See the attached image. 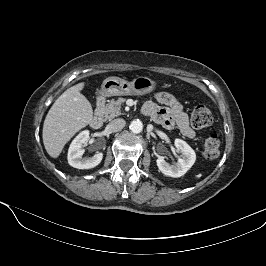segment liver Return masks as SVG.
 Listing matches in <instances>:
<instances>
[{
  "mask_svg": "<svg viewBox=\"0 0 266 266\" xmlns=\"http://www.w3.org/2000/svg\"><path fill=\"white\" fill-rule=\"evenodd\" d=\"M85 83L68 88L50 108L43 124V143L47 153L57 158L76 132L91 123V103L81 93Z\"/></svg>",
  "mask_w": 266,
  "mask_h": 266,
  "instance_id": "1",
  "label": "liver"
}]
</instances>
